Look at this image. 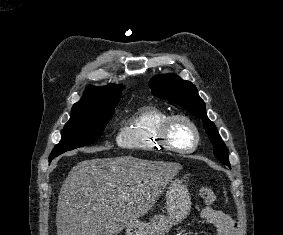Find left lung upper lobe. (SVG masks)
<instances>
[{"label": "left lung upper lobe", "instance_id": "obj_1", "mask_svg": "<svg viewBox=\"0 0 283 235\" xmlns=\"http://www.w3.org/2000/svg\"><path fill=\"white\" fill-rule=\"evenodd\" d=\"M149 86L153 95L172 101L201 118L204 122L206 133L214 145V155L225 165H230L226 145L214 123L208 119L205 102L198 95L195 85L177 75L168 74L155 76L151 79Z\"/></svg>", "mask_w": 283, "mask_h": 235}]
</instances>
